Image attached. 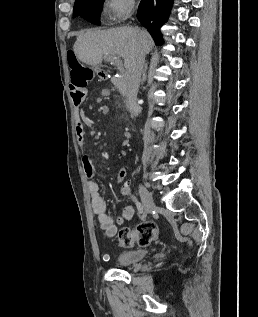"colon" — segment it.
<instances>
[{"label": "colon", "instance_id": "obj_1", "mask_svg": "<svg viewBox=\"0 0 258 317\" xmlns=\"http://www.w3.org/2000/svg\"><path fill=\"white\" fill-rule=\"evenodd\" d=\"M67 61L70 68L71 80L87 85L94 78V71L82 64L73 49L67 51ZM159 236V229L153 222H143L137 227L122 228L117 235V241L121 247L134 245L146 246Z\"/></svg>", "mask_w": 258, "mask_h": 317}]
</instances>
